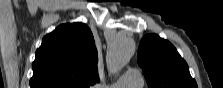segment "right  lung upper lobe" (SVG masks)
<instances>
[{
  "label": "right lung upper lobe",
  "instance_id": "1",
  "mask_svg": "<svg viewBox=\"0 0 223 88\" xmlns=\"http://www.w3.org/2000/svg\"><path fill=\"white\" fill-rule=\"evenodd\" d=\"M98 55L83 23L58 26L46 35L32 64L31 88H89L99 82Z\"/></svg>",
  "mask_w": 223,
  "mask_h": 88
}]
</instances>
